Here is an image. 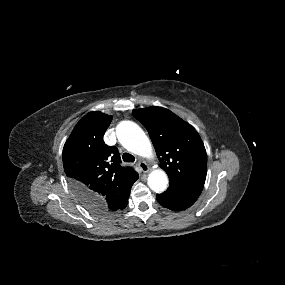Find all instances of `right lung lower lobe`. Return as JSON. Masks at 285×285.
Instances as JSON below:
<instances>
[{"label": "right lung lower lobe", "mask_w": 285, "mask_h": 285, "mask_svg": "<svg viewBox=\"0 0 285 285\" xmlns=\"http://www.w3.org/2000/svg\"><path fill=\"white\" fill-rule=\"evenodd\" d=\"M130 195V192L128 193V195L126 196V198L124 199V201L122 202V204L120 206H118L114 212H118L120 210H123L126 206H127V203H128V197Z\"/></svg>", "instance_id": "obj_1"}]
</instances>
